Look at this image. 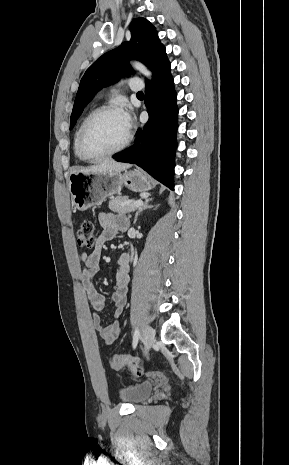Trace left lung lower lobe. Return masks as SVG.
Listing matches in <instances>:
<instances>
[{
  "mask_svg": "<svg viewBox=\"0 0 289 465\" xmlns=\"http://www.w3.org/2000/svg\"><path fill=\"white\" fill-rule=\"evenodd\" d=\"M145 104L150 119L144 131L138 129L134 145L113 158L138 165L173 190L178 110L170 72L146 85Z\"/></svg>",
  "mask_w": 289,
  "mask_h": 465,
  "instance_id": "0a47b994",
  "label": "left lung lower lobe"
}]
</instances>
